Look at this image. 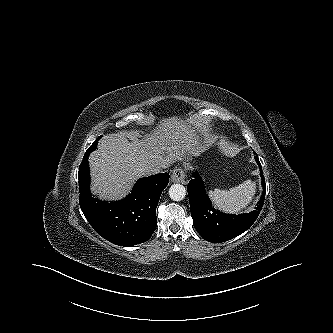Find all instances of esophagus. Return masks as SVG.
Returning <instances> with one entry per match:
<instances>
[{
    "instance_id": "esophagus-1",
    "label": "esophagus",
    "mask_w": 333,
    "mask_h": 333,
    "mask_svg": "<svg viewBox=\"0 0 333 333\" xmlns=\"http://www.w3.org/2000/svg\"><path fill=\"white\" fill-rule=\"evenodd\" d=\"M185 172L181 168H175L171 174V182L173 183H183L185 180Z\"/></svg>"
}]
</instances>
